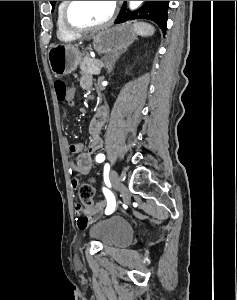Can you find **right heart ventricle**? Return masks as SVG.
I'll list each match as a JSON object with an SVG mask.
<instances>
[{
  "label": "right heart ventricle",
  "instance_id": "e07e8e85",
  "mask_svg": "<svg viewBox=\"0 0 237 300\" xmlns=\"http://www.w3.org/2000/svg\"><path fill=\"white\" fill-rule=\"evenodd\" d=\"M66 4V1H60L57 8V34L60 39H71L74 37V34L69 32L63 23V9Z\"/></svg>",
  "mask_w": 237,
  "mask_h": 300
}]
</instances>
